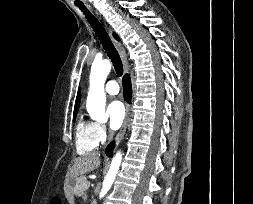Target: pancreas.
Instances as JSON below:
<instances>
[{
	"label": "pancreas",
	"mask_w": 253,
	"mask_h": 204,
	"mask_svg": "<svg viewBox=\"0 0 253 204\" xmlns=\"http://www.w3.org/2000/svg\"><path fill=\"white\" fill-rule=\"evenodd\" d=\"M87 182V179L85 177H79L77 179L76 185L74 187V193L78 196H82L84 199H86L87 195L85 193V183Z\"/></svg>",
	"instance_id": "obj_1"
}]
</instances>
